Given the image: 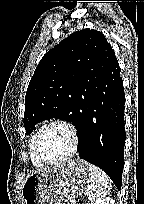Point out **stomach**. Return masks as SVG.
<instances>
[{"label": "stomach", "mask_w": 144, "mask_h": 204, "mask_svg": "<svg viewBox=\"0 0 144 204\" xmlns=\"http://www.w3.org/2000/svg\"><path fill=\"white\" fill-rule=\"evenodd\" d=\"M90 164L75 159L29 175L22 184L23 204H66L87 189Z\"/></svg>", "instance_id": "stomach-1"}]
</instances>
